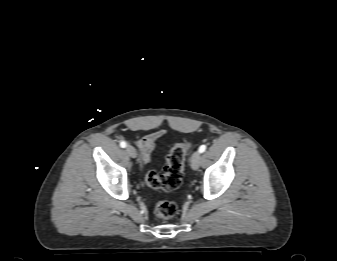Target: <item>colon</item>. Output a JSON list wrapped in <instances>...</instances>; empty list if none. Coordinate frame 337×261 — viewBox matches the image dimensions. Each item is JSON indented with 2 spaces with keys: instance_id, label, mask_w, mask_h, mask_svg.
Segmentation results:
<instances>
[{
  "instance_id": "obj_1",
  "label": "colon",
  "mask_w": 337,
  "mask_h": 261,
  "mask_svg": "<svg viewBox=\"0 0 337 261\" xmlns=\"http://www.w3.org/2000/svg\"><path fill=\"white\" fill-rule=\"evenodd\" d=\"M189 149L188 142L176 143L170 150L164 173L158 175L154 171H150L145 176L146 184L153 189H161L164 191H172L177 189L182 182L185 156ZM178 206L172 201H161L156 204L154 213L160 219H171L176 216Z\"/></svg>"
}]
</instances>
